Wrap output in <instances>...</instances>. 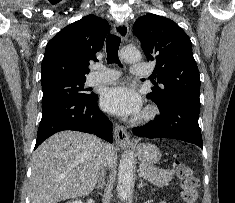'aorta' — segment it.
Returning a JSON list of instances; mask_svg holds the SVG:
<instances>
[{
  "mask_svg": "<svg viewBox=\"0 0 235 203\" xmlns=\"http://www.w3.org/2000/svg\"><path fill=\"white\" fill-rule=\"evenodd\" d=\"M120 56L125 62L135 63L141 60V53L133 47H124ZM134 157L131 152L124 153L121 157L118 170L117 191L121 200H126L130 194L133 181Z\"/></svg>",
  "mask_w": 235,
  "mask_h": 203,
  "instance_id": "obj_1",
  "label": "aorta"
}]
</instances>
